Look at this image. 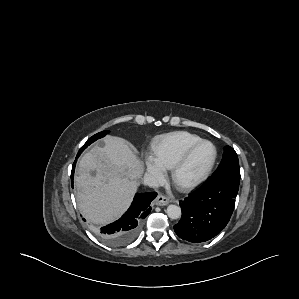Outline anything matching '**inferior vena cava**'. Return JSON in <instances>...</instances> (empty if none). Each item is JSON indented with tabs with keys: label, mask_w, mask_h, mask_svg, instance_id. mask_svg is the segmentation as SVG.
<instances>
[{
	"label": "inferior vena cava",
	"mask_w": 299,
	"mask_h": 299,
	"mask_svg": "<svg viewBox=\"0 0 299 299\" xmlns=\"http://www.w3.org/2000/svg\"><path fill=\"white\" fill-rule=\"evenodd\" d=\"M144 184L152 188H157L159 186L158 180L150 174L144 176Z\"/></svg>",
	"instance_id": "1"
}]
</instances>
